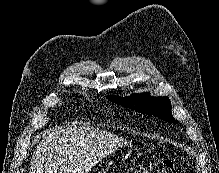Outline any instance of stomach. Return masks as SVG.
<instances>
[{
  "mask_svg": "<svg viewBox=\"0 0 219 173\" xmlns=\"http://www.w3.org/2000/svg\"><path fill=\"white\" fill-rule=\"evenodd\" d=\"M126 161V158H122L121 159V163L125 162Z\"/></svg>",
  "mask_w": 219,
  "mask_h": 173,
  "instance_id": "obj_1",
  "label": "stomach"
}]
</instances>
